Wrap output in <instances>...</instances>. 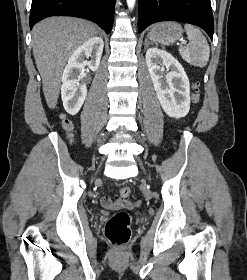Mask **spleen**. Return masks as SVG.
Returning a JSON list of instances; mask_svg holds the SVG:
<instances>
[{
  "label": "spleen",
  "instance_id": "1",
  "mask_svg": "<svg viewBox=\"0 0 247 280\" xmlns=\"http://www.w3.org/2000/svg\"><path fill=\"white\" fill-rule=\"evenodd\" d=\"M184 28L189 39V45L179 48L181 57L193 66L205 67L210 56L207 39L198 28L191 24H186Z\"/></svg>",
  "mask_w": 247,
  "mask_h": 280
}]
</instances>
